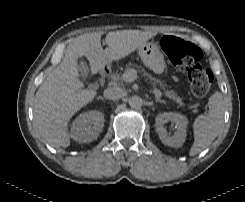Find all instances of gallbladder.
I'll list each match as a JSON object with an SVG mask.
<instances>
[{"label":"gallbladder","instance_id":"obj_1","mask_svg":"<svg viewBox=\"0 0 245 202\" xmlns=\"http://www.w3.org/2000/svg\"><path fill=\"white\" fill-rule=\"evenodd\" d=\"M78 71L82 78H86L89 75V66L86 61L80 60L78 64Z\"/></svg>","mask_w":245,"mask_h":202}]
</instances>
